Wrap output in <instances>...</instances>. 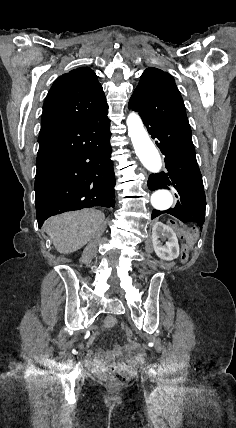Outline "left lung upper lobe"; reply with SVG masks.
<instances>
[{
  "label": "left lung upper lobe",
  "instance_id": "left-lung-upper-lobe-1",
  "mask_svg": "<svg viewBox=\"0 0 236 428\" xmlns=\"http://www.w3.org/2000/svg\"><path fill=\"white\" fill-rule=\"evenodd\" d=\"M128 106L143 116L172 119L189 126L174 78L157 68L144 71Z\"/></svg>",
  "mask_w": 236,
  "mask_h": 428
}]
</instances>
